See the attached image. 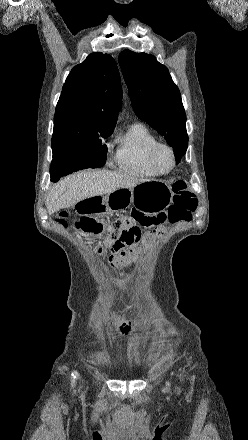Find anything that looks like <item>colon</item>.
<instances>
[{
    "label": "colon",
    "instance_id": "colon-1",
    "mask_svg": "<svg viewBox=\"0 0 248 440\" xmlns=\"http://www.w3.org/2000/svg\"><path fill=\"white\" fill-rule=\"evenodd\" d=\"M173 202L165 211L156 215H148L141 208L133 209L131 216H126L115 221L111 236L115 239V244L111 251L113 264L124 263L132 258L133 254L124 250L126 246L139 243L146 235L142 234L139 226H155L156 234L163 231L160 227L166 222L174 223L182 220L191 219L192 213L197 206L195 195L188 189L183 181H177L173 184ZM63 217V215H62ZM65 223L63 218L58 220Z\"/></svg>",
    "mask_w": 248,
    "mask_h": 440
}]
</instances>
